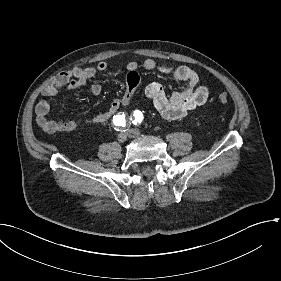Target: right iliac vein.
I'll use <instances>...</instances> for the list:
<instances>
[{
  "mask_svg": "<svg viewBox=\"0 0 281 281\" xmlns=\"http://www.w3.org/2000/svg\"><path fill=\"white\" fill-rule=\"evenodd\" d=\"M127 136H128V133L127 132H121L118 137H117V140L120 142V143H124L126 140H127Z\"/></svg>",
  "mask_w": 281,
  "mask_h": 281,
  "instance_id": "63e3f726",
  "label": "right iliac vein"
}]
</instances>
